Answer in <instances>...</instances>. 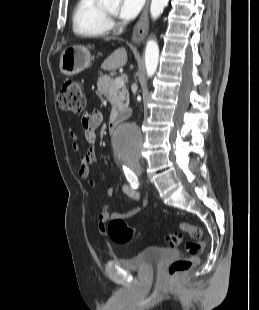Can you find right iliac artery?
Instances as JSON below:
<instances>
[{
	"mask_svg": "<svg viewBox=\"0 0 259 310\" xmlns=\"http://www.w3.org/2000/svg\"><path fill=\"white\" fill-rule=\"evenodd\" d=\"M123 171L125 173V176L127 178V180L130 182L131 186L133 188H138L139 186V181L137 176L134 174V172H132L129 168H127L126 166H123Z\"/></svg>",
	"mask_w": 259,
	"mask_h": 310,
	"instance_id": "82829eb1",
	"label": "right iliac artery"
}]
</instances>
